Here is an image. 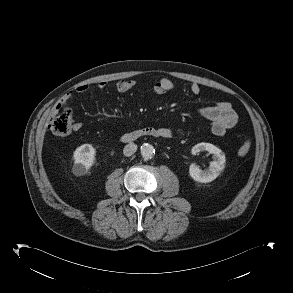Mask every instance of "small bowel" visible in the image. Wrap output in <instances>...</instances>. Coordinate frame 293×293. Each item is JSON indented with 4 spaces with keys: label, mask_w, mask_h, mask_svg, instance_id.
Instances as JSON below:
<instances>
[{
    "label": "small bowel",
    "mask_w": 293,
    "mask_h": 293,
    "mask_svg": "<svg viewBox=\"0 0 293 293\" xmlns=\"http://www.w3.org/2000/svg\"><path fill=\"white\" fill-rule=\"evenodd\" d=\"M136 85L134 80L119 81L115 85V89L118 93L123 94L132 90ZM107 86L106 82L97 83L99 90H104ZM175 88V84L168 78H161L153 85V92L157 95H162ZM89 90L88 85H81L75 88L73 91L68 92L62 102L70 101L75 94H82ZM190 91L194 95H198L201 92L200 85L193 83L190 86ZM198 112L203 117L212 121L211 131L216 136L224 135L229 129L233 128L237 123V114L228 102H217L213 105L202 106L198 109ZM82 125L78 122L72 125L74 132L80 131ZM161 133V137L169 138L172 136V131L169 128L161 127L157 129Z\"/></svg>",
    "instance_id": "c3829d8e"
}]
</instances>
